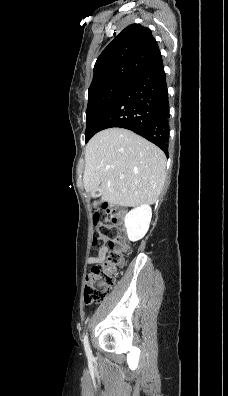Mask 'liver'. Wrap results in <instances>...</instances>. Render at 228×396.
<instances>
[{
    "label": "liver",
    "instance_id": "liver-1",
    "mask_svg": "<svg viewBox=\"0 0 228 396\" xmlns=\"http://www.w3.org/2000/svg\"><path fill=\"white\" fill-rule=\"evenodd\" d=\"M165 167V154L156 145L130 130L105 129L86 146L84 188L110 204H154L165 182Z\"/></svg>",
    "mask_w": 228,
    "mask_h": 396
}]
</instances>
